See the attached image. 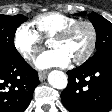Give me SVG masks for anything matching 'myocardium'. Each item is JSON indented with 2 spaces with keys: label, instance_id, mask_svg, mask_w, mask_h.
I'll list each match as a JSON object with an SVG mask.
<instances>
[{
  "label": "myocardium",
  "instance_id": "obj_1",
  "mask_svg": "<svg viewBox=\"0 0 112 112\" xmlns=\"http://www.w3.org/2000/svg\"><path fill=\"white\" fill-rule=\"evenodd\" d=\"M81 25H85L88 27L90 31V42L86 51L81 56L72 60L75 64L84 63L90 58V56L94 52L97 44V29L95 25L89 20H76L75 22L61 29L52 37V39H60V40L66 39L78 26Z\"/></svg>",
  "mask_w": 112,
  "mask_h": 112
}]
</instances>
